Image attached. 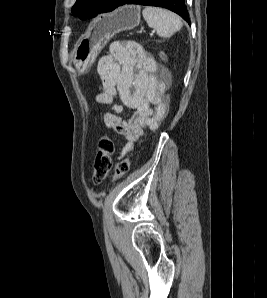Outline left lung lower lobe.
<instances>
[{
	"label": "left lung lower lobe",
	"mask_w": 267,
	"mask_h": 298,
	"mask_svg": "<svg viewBox=\"0 0 267 298\" xmlns=\"http://www.w3.org/2000/svg\"><path fill=\"white\" fill-rule=\"evenodd\" d=\"M124 4H140V5L164 7L177 13L184 20L190 23V21L188 20V13L186 10V6L184 4V0H117V2L115 3L114 9Z\"/></svg>",
	"instance_id": "left-lung-lower-lobe-1"
}]
</instances>
